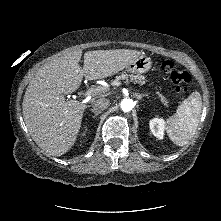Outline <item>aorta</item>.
Here are the masks:
<instances>
[{
	"instance_id": "obj_1",
	"label": "aorta",
	"mask_w": 221,
	"mask_h": 221,
	"mask_svg": "<svg viewBox=\"0 0 221 221\" xmlns=\"http://www.w3.org/2000/svg\"><path fill=\"white\" fill-rule=\"evenodd\" d=\"M134 104H133V101L129 98H124L122 101H121V109L124 111V112H129L132 110Z\"/></svg>"
}]
</instances>
